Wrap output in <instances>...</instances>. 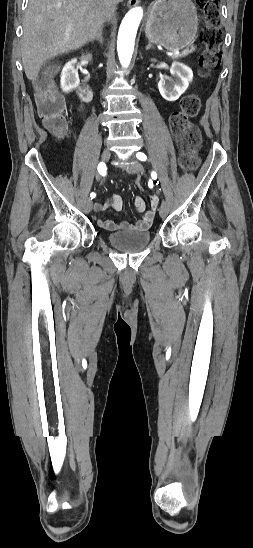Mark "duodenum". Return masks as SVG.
Masks as SVG:
<instances>
[{
    "mask_svg": "<svg viewBox=\"0 0 253 548\" xmlns=\"http://www.w3.org/2000/svg\"><path fill=\"white\" fill-rule=\"evenodd\" d=\"M78 94L81 96L84 100H90L93 97V91L89 84L86 82H82L78 88H77Z\"/></svg>",
    "mask_w": 253,
    "mask_h": 548,
    "instance_id": "1",
    "label": "duodenum"
}]
</instances>
